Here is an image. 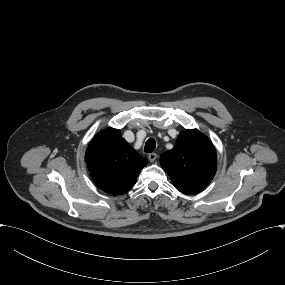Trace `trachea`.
<instances>
[{
  "label": "trachea",
  "instance_id": "1",
  "mask_svg": "<svg viewBox=\"0 0 285 285\" xmlns=\"http://www.w3.org/2000/svg\"><path fill=\"white\" fill-rule=\"evenodd\" d=\"M155 148H156L155 139L149 138L145 143L144 151L147 153H151L155 150Z\"/></svg>",
  "mask_w": 285,
  "mask_h": 285
}]
</instances>
